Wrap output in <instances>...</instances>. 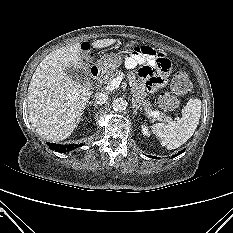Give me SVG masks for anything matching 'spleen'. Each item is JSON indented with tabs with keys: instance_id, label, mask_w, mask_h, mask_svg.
<instances>
[{
	"instance_id": "1",
	"label": "spleen",
	"mask_w": 233,
	"mask_h": 233,
	"mask_svg": "<svg viewBox=\"0 0 233 233\" xmlns=\"http://www.w3.org/2000/svg\"><path fill=\"white\" fill-rule=\"evenodd\" d=\"M201 116V100L191 98L182 109V117L178 121L167 124L156 123L151 126L153 133L160 139L162 146L168 150L176 149L187 142L194 134Z\"/></svg>"
}]
</instances>
